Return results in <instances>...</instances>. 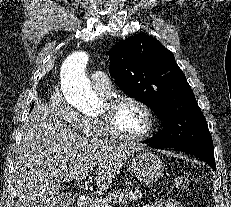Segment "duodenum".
Wrapping results in <instances>:
<instances>
[{
    "label": "duodenum",
    "instance_id": "duodenum-1",
    "mask_svg": "<svg viewBox=\"0 0 231 207\" xmlns=\"http://www.w3.org/2000/svg\"><path fill=\"white\" fill-rule=\"evenodd\" d=\"M93 202L92 195H83L78 199L77 207H91Z\"/></svg>",
    "mask_w": 231,
    "mask_h": 207
}]
</instances>
